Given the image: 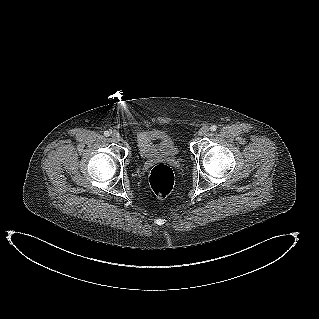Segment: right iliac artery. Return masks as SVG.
Here are the masks:
<instances>
[{"instance_id":"82829eb1","label":"right iliac artery","mask_w":319,"mask_h":319,"mask_svg":"<svg viewBox=\"0 0 319 319\" xmlns=\"http://www.w3.org/2000/svg\"><path fill=\"white\" fill-rule=\"evenodd\" d=\"M110 134H111V133H110L109 131H105V132H104V135H105L106 137L110 136Z\"/></svg>"}]
</instances>
